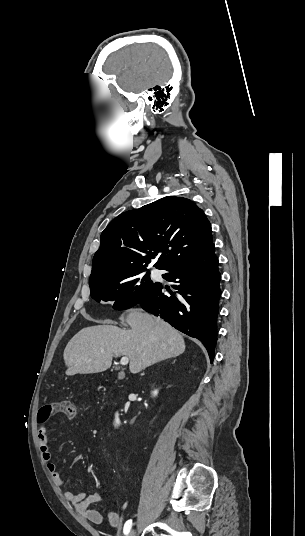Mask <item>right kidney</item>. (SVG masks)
Returning a JSON list of instances; mask_svg holds the SVG:
<instances>
[{
  "mask_svg": "<svg viewBox=\"0 0 305 536\" xmlns=\"http://www.w3.org/2000/svg\"><path fill=\"white\" fill-rule=\"evenodd\" d=\"M158 394V390H155V392H153V396H157ZM120 424V420H119V414H115V426H119Z\"/></svg>",
  "mask_w": 305,
  "mask_h": 536,
  "instance_id": "right-kidney-1",
  "label": "right kidney"
}]
</instances>
